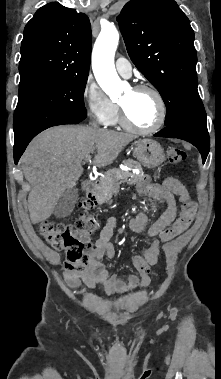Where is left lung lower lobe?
<instances>
[{"label":"left lung lower lobe","instance_id":"obj_1","mask_svg":"<svg viewBox=\"0 0 221 379\" xmlns=\"http://www.w3.org/2000/svg\"><path fill=\"white\" fill-rule=\"evenodd\" d=\"M154 136L178 138L192 143L200 151L203 163L205 162L210 150L207 127L179 122L165 127Z\"/></svg>","mask_w":221,"mask_h":379}]
</instances>
